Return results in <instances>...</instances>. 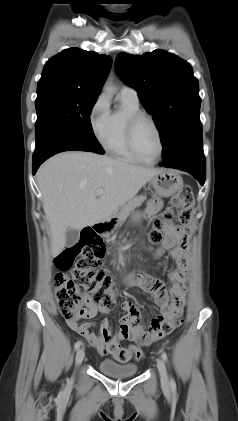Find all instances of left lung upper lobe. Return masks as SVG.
<instances>
[{"instance_id": "obj_1", "label": "left lung upper lobe", "mask_w": 238, "mask_h": 421, "mask_svg": "<svg viewBox=\"0 0 238 421\" xmlns=\"http://www.w3.org/2000/svg\"><path fill=\"white\" fill-rule=\"evenodd\" d=\"M121 79L136 89L153 115L163 144V159L191 135L202 132L199 86L186 61L163 50L142 56L120 53L115 60Z\"/></svg>"}]
</instances>
